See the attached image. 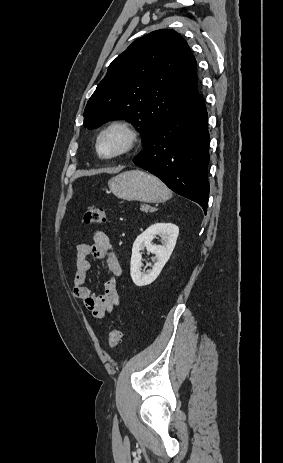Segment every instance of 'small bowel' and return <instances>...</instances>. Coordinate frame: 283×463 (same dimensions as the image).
I'll return each mask as SVG.
<instances>
[{"mask_svg":"<svg viewBox=\"0 0 283 463\" xmlns=\"http://www.w3.org/2000/svg\"><path fill=\"white\" fill-rule=\"evenodd\" d=\"M88 257L103 261L108 269L109 278L104 284L102 294L94 293L88 286V276L91 271ZM122 274L123 270L113 250L111 240L104 231H95L92 243L77 245L73 294L83 301L94 318L102 319L119 306L120 295L117 280Z\"/></svg>","mask_w":283,"mask_h":463,"instance_id":"c3829d8e","label":"small bowel"}]
</instances>
